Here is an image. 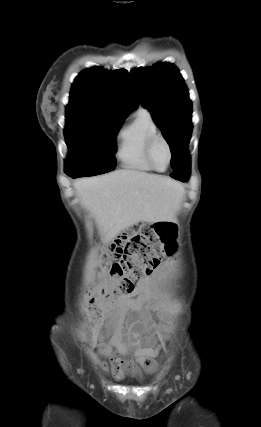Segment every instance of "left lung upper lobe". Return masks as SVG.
I'll return each instance as SVG.
<instances>
[{"label":"left lung upper lobe","instance_id":"1","mask_svg":"<svg viewBox=\"0 0 261 427\" xmlns=\"http://www.w3.org/2000/svg\"><path fill=\"white\" fill-rule=\"evenodd\" d=\"M130 76L139 100L151 112L170 146L175 170L185 159L192 132V105L184 80L169 63L137 68Z\"/></svg>","mask_w":261,"mask_h":427}]
</instances>
